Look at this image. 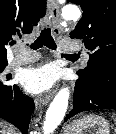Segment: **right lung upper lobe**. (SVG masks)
I'll use <instances>...</instances> for the list:
<instances>
[{"label": "right lung upper lobe", "mask_w": 116, "mask_h": 134, "mask_svg": "<svg viewBox=\"0 0 116 134\" xmlns=\"http://www.w3.org/2000/svg\"><path fill=\"white\" fill-rule=\"evenodd\" d=\"M46 12V0H0V63L14 36L30 34Z\"/></svg>", "instance_id": "cb5924a9"}]
</instances>
